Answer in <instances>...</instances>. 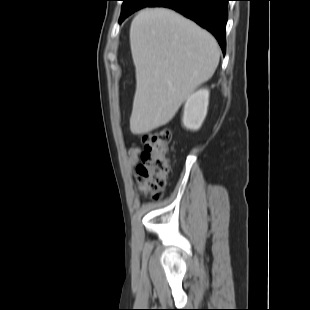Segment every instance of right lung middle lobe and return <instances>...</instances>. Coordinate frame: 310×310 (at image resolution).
<instances>
[{"label": "right lung middle lobe", "mask_w": 310, "mask_h": 310, "mask_svg": "<svg viewBox=\"0 0 310 310\" xmlns=\"http://www.w3.org/2000/svg\"><path fill=\"white\" fill-rule=\"evenodd\" d=\"M122 13L120 22L128 17L130 14L143 7L149 6L156 0H123Z\"/></svg>", "instance_id": "right-lung-middle-lobe-1"}]
</instances>
